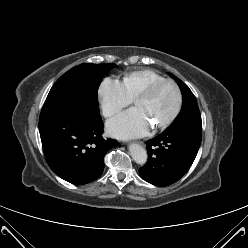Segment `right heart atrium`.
I'll return each mask as SVG.
<instances>
[{
  "label": "right heart atrium",
  "instance_id": "1",
  "mask_svg": "<svg viewBox=\"0 0 248 248\" xmlns=\"http://www.w3.org/2000/svg\"><path fill=\"white\" fill-rule=\"evenodd\" d=\"M98 99L102 114L106 118L114 117L132 101L122 82L110 77L101 82L98 88Z\"/></svg>",
  "mask_w": 248,
  "mask_h": 248
}]
</instances>
